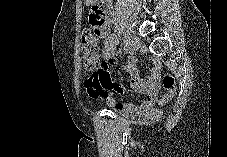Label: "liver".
I'll return each mask as SVG.
<instances>
[{
    "label": "liver",
    "instance_id": "1",
    "mask_svg": "<svg viewBox=\"0 0 227 157\" xmlns=\"http://www.w3.org/2000/svg\"><path fill=\"white\" fill-rule=\"evenodd\" d=\"M86 2L89 4V3H91V0H87Z\"/></svg>",
    "mask_w": 227,
    "mask_h": 157
}]
</instances>
